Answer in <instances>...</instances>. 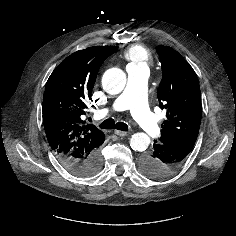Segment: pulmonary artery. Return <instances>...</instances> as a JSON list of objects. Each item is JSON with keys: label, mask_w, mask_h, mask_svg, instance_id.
<instances>
[{"label": "pulmonary artery", "mask_w": 236, "mask_h": 236, "mask_svg": "<svg viewBox=\"0 0 236 236\" xmlns=\"http://www.w3.org/2000/svg\"><path fill=\"white\" fill-rule=\"evenodd\" d=\"M128 82L125 90L114 100L110 108L101 111L105 116L109 110H130L132 116L152 136L160 133L156 117L150 111L146 102V87L149 70L146 66H128Z\"/></svg>", "instance_id": "e3ab8cb5"}]
</instances>
